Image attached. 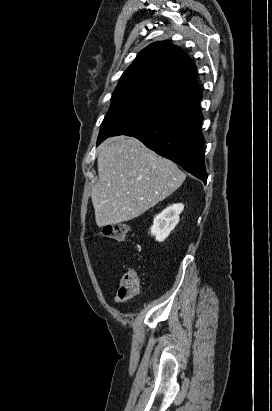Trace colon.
I'll list each match as a JSON object with an SVG mask.
<instances>
[{"instance_id":"5ec220e1","label":"colon","mask_w":272,"mask_h":411,"mask_svg":"<svg viewBox=\"0 0 272 411\" xmlns=\"http://www.w3.org/2000/svg\"><path fill=\"white\" fill-rule=\"evenodd\" d=\"M128 233L127 225L123 223L108 224L102 229V235L117 241L126 239ZM140 291V279L135 269H127L120 280L117 297L120 300L127 301L134 298Z\"/></svg>"}]
</instances>
